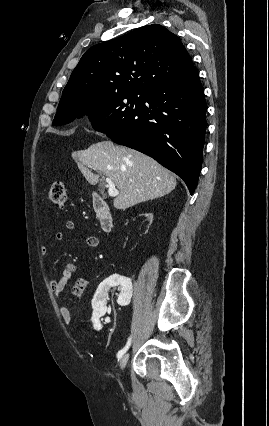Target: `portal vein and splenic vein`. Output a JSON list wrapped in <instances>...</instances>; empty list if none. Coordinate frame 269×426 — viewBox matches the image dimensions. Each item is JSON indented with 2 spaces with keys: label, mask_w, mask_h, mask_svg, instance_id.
<instances>
[{
  "label": "portal vein and splenic vein",
  "mask_w": 269,
  "mask_h": 426,
  "mask_svg": "<svg viewBox=\"0 0 269 426\" xmlns=\"http://www.w3.org/2000/svg\"><path fill=\"white\" fill-rule=\"evenodd\" d=\"M106 181V186L108 188V194L110 197H116L119 194V191L115 188V184L113 183V181L109 178L105 179Z\"/></svg>",
  "instance_id": "18ae733b"
}]
</instances>
